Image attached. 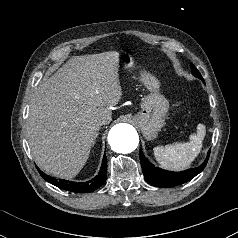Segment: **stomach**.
Returning a JSON list of instances; mask_svg holds the SVG:
<instances>
[{
  "label": "stomach",
  "instance_id": "stomach-1",
  "mask_svg": "<svg viewBox=\"0 0 238 238\" xmlns=\"http://www.w3.org/2000/svg\"><path fill=\"white\" fill-rule=\"evenodd\" d=\"M134 60L132 55L123 52L119 54V65L125 69L132 67ZM141 82L151 92L141 105L142 110L134 115L133 119L141 129L147 140L157 137L158 132L165 124V118L169 110L168 100L159 93L160 82L150 73L143 72Z\"/></svg>",
  "mask_w": 238,
  "mask_h": 238
}]
</instances>
